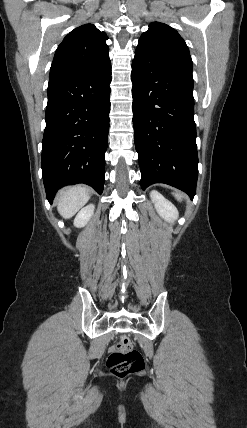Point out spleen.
<instances>
[{
	"label": "spleen",
	"instance_id": "obj_1",
	"mask_svg": "<svg viewBox=\"0 0 247 428\" xmlns=\"http://www.w3.org/2000/svg\"><path fill=\"white\" fill-rule=\"evenodd\" d=\"M173 194H174L175 198H176L178 201H182L183 194H182L181 192L176 191V192H175V193H173Z\"/></svg>",
	"mask_w": 247,
	"mask_h": 428
}]
</instances>
